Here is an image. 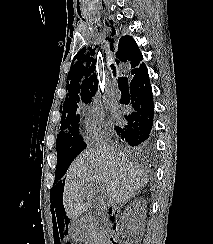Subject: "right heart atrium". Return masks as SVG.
<instances>
[{
	"label": "right heart atrium",
	"instance_id": "right-heart-atrium-1",
	"mask_svg": "<svg viewBox=\"0 0 213 244\" xmlns=\"http://www.w3.org/2000/svg\"><path fill=\"white\" fill-rule=\"evenodd\" d=\"M81 123L84 138L90 142L103 140L111 131L102 107L96 102L84 107Z\"/></svg>",
	"mask_w": 213,
	"mask_h": 244
}]
</instances>
